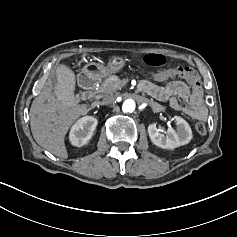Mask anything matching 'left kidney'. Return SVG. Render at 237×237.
<instances>
[{"instance_id": "left-kidney-1", "label": "left kidney", "mask_w": 237, "mask_h": 237, "mask_svg": "<svg viewBox=\"0 0 237 237\" xmlns=\"http://www.w3.org/2000/svg\"><path fill=\"white\" fill-rule=\"evenodd\" d=\"M174 119L177 130L169 128L166 135L158 131L156 124L148 126L149 137L153 144L163 149H175L191 141L193 135L189 124L179 116H175Z\"/></svg>"}]
</instances>
